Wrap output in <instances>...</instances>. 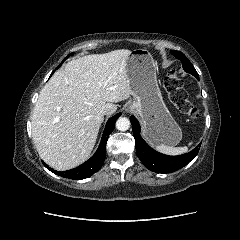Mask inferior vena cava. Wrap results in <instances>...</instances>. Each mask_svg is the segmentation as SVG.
Here are the masks:
<instances>
[{"label": "inferior vena cava", "mask_w": 240, "mask_h": 240, "mask_svg": "<svg viewBox=\"0 0 240 240\" xmlns=\"http://www.w3.org/2000/svg\"><path fill=\"white\" fill-rule=\"evenodd\" d=\"M102 113H103V114H107L108 112H107L106 110H103Z\"/></svg>", "instance_id": "inferior-vena-cava-1"}]
</instances>
